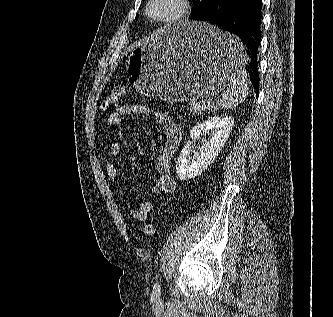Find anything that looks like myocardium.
<instances>
[{
  "label": "myocardium",
  "instance_id": "obj_1",
  "mask_svg": "<svg viewBox=\"0 0 333 317\" xmlns=\"http://www.w3.org/2000/svg\"><path fill=\"white\" fill-rule=\"evenodd\" d=\"M159 0H148L145 6V15L153 23L172 25L181 21L188 13L190 5L188 0H169L173 6V11L165 16H158L152 12L153 5Z\"/></svg>",
  "mask_w": 333,
  "mask_h": 317
}]
</instances>
